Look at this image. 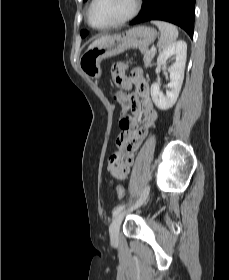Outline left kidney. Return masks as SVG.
Masks as SVG:
<instances>
[{
  "label": "left kidney",
  "mask_w": 229,
  "mask_h": 280,
  "mask_svg": "<svg viewBox=\"0 0 229 280\" xmlns=\"http://www.w3.org/2000/svg\"><path fill=\"white\" fill-rule=\"evenodd\" d=\"M186 55V42L177 41L161 51L157 58L156 74H159L161 66L165 65L169 58L174 56L175 59V62L169 69L170 83L168 84L169 90L166 92V95H163L160 91L159 83H153L151 85L152 100L160 110H167L171 108L177 101L184 79Z\"/></svg>",
  "instance_id": "1"
}]
</instances>
